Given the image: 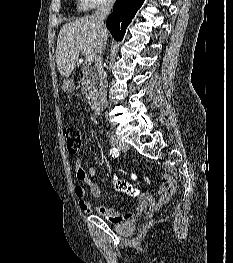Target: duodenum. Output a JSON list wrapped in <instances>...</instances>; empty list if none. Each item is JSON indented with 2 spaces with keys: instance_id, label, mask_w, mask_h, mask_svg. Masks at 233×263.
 I'll return each mask as SVG.
<instances>
[{
  "instance_id": "obj_1",
  "label": "duodenum",
  "mask_w": 233,
  "mask_h": 263,
  "mask_svg": "<svg viewBox=\"0 0 233 263\" xmlns=\"http://www.w3.org/2000/svg\"><path fill=\"white\" fill-rule=\"evenodd\" d=\"M87 84L88 85H85V90L88 91L86 97L89 99L93 112L99 114L100 112L99 103H102V98H100L99 95H95L99 93V90L97 89L98 83L94 82L93 80H88Z\"/></svg>"
}]
</instances>
